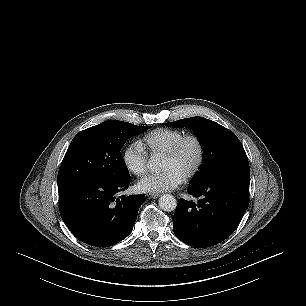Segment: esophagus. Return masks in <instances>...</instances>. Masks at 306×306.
I'll use <instances>...</instances> for the list:
<instances>
[{
	"label": "esophagus",
	"instance_id": "1",
	"mask_svg": "<svg viewBox=\"0 0 306 306\" xmlns=\"http://www.w3.org/2000/svg\"><path fill=\"white\" fill-rule=\"evenodd\" d=\"M147 196L148 198L156 199L160 196V194L159 193H148Z\"/></svg>",
	"mask_w": 306,
	"mask_h": 306
}]
</instances>
